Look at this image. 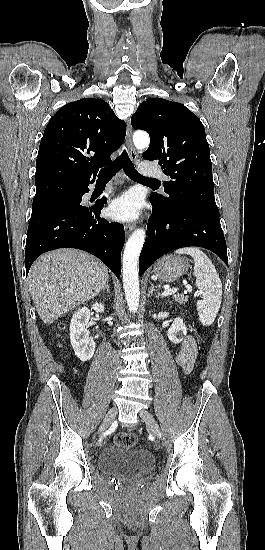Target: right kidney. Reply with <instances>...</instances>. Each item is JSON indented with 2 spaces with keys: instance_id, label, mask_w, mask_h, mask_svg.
Returning <instances> with one entry per match:
<instances>
[{
  "instance_id": "obj_1",
  "label": "right kidney",
  "mask_w": 265,
  "mask_h": 550,
  "mask_svg": "<svg viewBox=\"0 0 265 550\" xmlns=\"http://www.w3.org/2000/svg\"><path fill=\"white\" fill-rule=\"evenodd\" d=\"M92 309L97 312H104V304L94 303ZM90 320V310L87 307L80 308L72 316L70 323V341L75 355L82 362L89 361L95 352V342L89 337L87 329Z\"/></svg>"
}]
</instances>
